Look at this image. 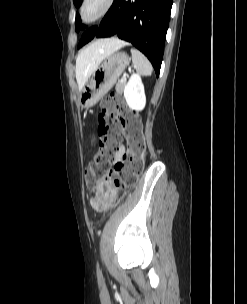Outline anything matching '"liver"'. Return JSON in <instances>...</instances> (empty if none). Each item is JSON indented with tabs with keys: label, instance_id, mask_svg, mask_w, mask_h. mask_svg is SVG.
I'll return each mask as SVG.
<instances>
[{
	"label": "liver",
	"instance_id": "liver-1",
	"mask_svg": "<svg viewBox=\"0 0 247 304\" xmlns=\"http://www.w3.org/2000/svg\"><path fill=\"white\" fill-rule=\"evenodd\" d=\"M125 45L126 43L120 39L110 38L94 41L82 49L76 59V80L79 90L84 87L87 79L106 57Z\"/></svg>",
	"mask_w": 247,
	"mask_h": 304
}]
</instances>
